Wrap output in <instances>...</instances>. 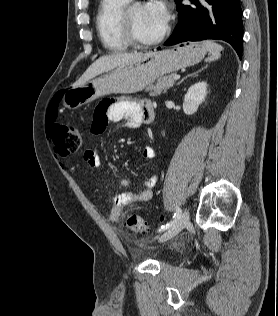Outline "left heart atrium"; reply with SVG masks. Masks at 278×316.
<instances>
[{
    "label": "left heart atrium",
    "instance_id": "1",
    "mask_svg": "<svg viewBox=\"0 0 278 316\" xmlns=\"http://www.w3.org/2000/svg\"><path fill=\"white\" fill-rule=\"evenodd\" d=\"M145 8L149 15L160 24L166 26L170 13L166 3L162 0H150L145 4Z\"/></svg>",
    "mask_w": 278,
    "mask_h": 316
}]
</instances>
